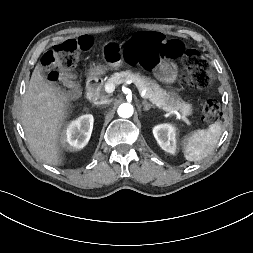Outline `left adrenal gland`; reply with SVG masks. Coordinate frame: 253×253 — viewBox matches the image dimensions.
Here are the masks:
<instances>
[{"mask_svg":"<svg viewBox=\"0 0 253 253\" xmlns=\"http://www.w3.org/2000/svg\"><path fill=\"white\" fill-rule=\"evenodd\" d=\"M143 106H144V111H149L151 108H154V106L150 103H148L146 100H144L142 102Z\"/></svg>","mask_w":253,"mask_h":253,"instance_id":"a2214340","label":"left adrenal gland"}]
</instances>
